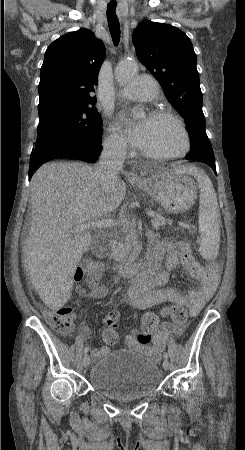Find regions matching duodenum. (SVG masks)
Returning <instances> with one entry per match:
<instances>
[{"mask_svg": "<svg viewBox=\"0 0 245 450\" xmlns=\"http://www.w3.org/2000/svg\"><path fill=\"white\" fill-rule=\"evenodd\" d=\"M106 234H108L110 237L107 241V245L110 249H112L115 244V238H114V231L111 229H107ZM156 261L153 257H148L145 262L139 263V262H132L128 264H122L119 265L118 271L124 275V276H131V275H137L142 272L149 271L155 267Z\"/></svg>", "mask_w": 245, "mask_h": 450, "instance_id": "duodenum-1", "label": "duodenum"}]
</instances>
